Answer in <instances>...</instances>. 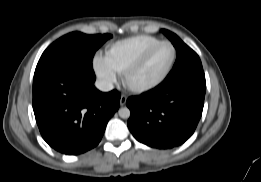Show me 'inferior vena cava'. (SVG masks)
<instances>
[{
    "label": "inferior vena cava",
    "instance_id": "1",
    "mask_svg": "<svg viewBox=\"0 0 261 182\" xmlns=\"http://www.w3.org/2000/svg\"><path fill=\"white\" fill-rule=\"evenodd\" d=\"M95 86L100 90V91H103V92H108V91H111L114 86L112 84V82L108 81V80H102V79H99L95 82Z\"/></svg>",
    "mask_w": 261,
    "mask_h": 182
}]
</instances>
